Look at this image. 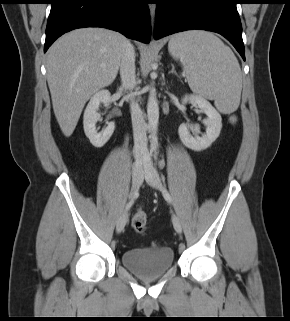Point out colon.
I'll use <instances>...</instances> for the list:
<instances>
[{"label":"colon","mask_w":290,"mask_h":321,"mask_svg":"<svg viewBox=\"0 0 290 321\" xmlns=\"http://www.w3.org/2000/svg\"><path fill=\"white\" fill-rule=\"evenodd\" d=\"M131 226L136 233H144L147 228L146 213L142 210H137L132 216Z\"/></svg>","instance_id":"colon-1"}]
</instances>
